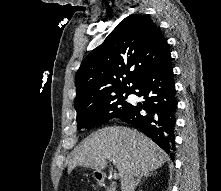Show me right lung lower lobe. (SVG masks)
I'll list each match as a JSON object with an SVG mask.
<instances>
[{
  "label": "right lung lower lobe",
  "instance_id": "right-lung-lower-lobe-1",
  "mask_svg": "<svg viewBox=\"0 0 221 191\" xmlns=\"http://www.w3.org/2000/svg\"><path fill=\"white\" fill-rule=\"evenodd\" d=\"M132 94L143 96L145 101L143 105L132 104L130 111L121 120L139 128L173 157L178 102L175 97L170 52L139 80Z\"/></svg>",
  "mask_w": 221,
  "mask_h": 191
}]
</instances>
